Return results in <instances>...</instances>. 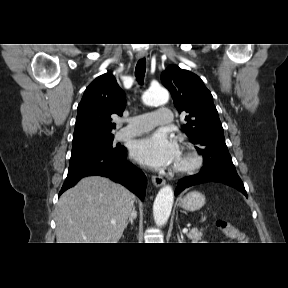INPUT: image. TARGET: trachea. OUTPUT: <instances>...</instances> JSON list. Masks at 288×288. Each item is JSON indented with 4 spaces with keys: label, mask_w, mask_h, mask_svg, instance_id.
Returning <instances> with one entry per match:
<instances>
[{
    "label": "trachea",
    "mask_w": 288,
    "mask_h": 288,
    "mask_svg": "<svg viewBox=\"0 0 288 288\" xmlns=\"http://www.w3.org/2000/svg\"><path fill=\"white\" fill-rule=\"evenodd\" d=\"M145 71H146V60L145 58H142L138 61L135 69V76L139 84L143 83Z\"/></svg>",
    "instance_id": "trachea-1"
}]
</instances>
